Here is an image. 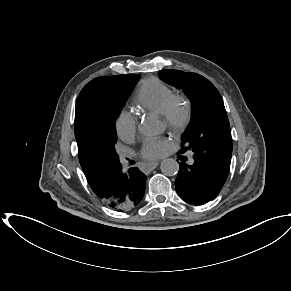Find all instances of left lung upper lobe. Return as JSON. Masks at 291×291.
Returning a JSON list of instances; mask_svg holds the SVG:
<instances>
[{
    "instance_id": "left-lung-upper-lobe-1",
    "label": "left lung upper lobe",
    "mask_w": 291,
    "mask_h": 291,
    "mask_svg": "<svg viewBox=\"0 0 291 291\" xmlns=\"http://www.w3.org/2000/svg\"><path fill=\"white\" fill-rule=\"evenodd\" d=\"M159 77L182 89L191 101L192 117L182 135L183 147L194 152V158L229 171L232 138L229 120L221 95L205 77L180 70H161Z\"/></svg>"
}]
</instances>
